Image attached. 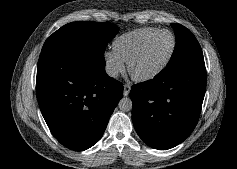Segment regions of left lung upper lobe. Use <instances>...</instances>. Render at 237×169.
I'll use <instances>...</instances> for the list:
<instances>
[{"instance_id":"obj_1","label":"left lung upper lobe","mask_w":237,"mask_h":169,"mask_svg":"<svg viewBox=\"0 0 237 169\" xmlns=\"http://www.w3.org/2000/svg\"><path fill=\"white\" fill-rule=\"evenodd\" d=\"M171 26L175 31L176 45L169 63L162 72H172L188 64L204 62L202 49L195 36L182 25Z\"/></svg>"}]
</instances>
